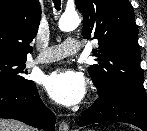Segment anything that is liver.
Returning a JSON list of instances; mask_svg holds the SVG:
<instances>
[{"instance_id":"6515ba94","label":"liver","mask_w":147,"mask_h":131,"mask_svg":"<svg viewBox=\"0 0 147 131\" xmlns=\"http://www.w3.org/2000/svg\"><path fill=\"white\" fill-rule=\"evenodd\" d=\"M0 131H35L33 128L16 120L0 119Z\"/></svg>"}]
</instances>
